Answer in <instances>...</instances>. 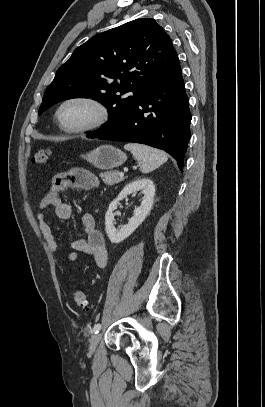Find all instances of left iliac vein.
Returning a JSON list of instances; mask_svg holds the SVG:
<instances>
[{
    "mask_svg": "<svg viewBox=\"0 0 265 407\" xmlns=\"http://www.w3.org/2000/svg\"><path fill=\"white\" fill-rule=\"evenodd\" d=\"M100 339H101V334L100 333H96V334L91 336V338L89 340V343H90L89 349H90V351H95Z\"/></svg>",
    "mask_w": 265,
    "mask_h": 407,
    "instance_id": "obj_1",
    "label": "left iliac vein"
}]
</instances>
